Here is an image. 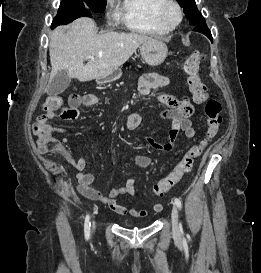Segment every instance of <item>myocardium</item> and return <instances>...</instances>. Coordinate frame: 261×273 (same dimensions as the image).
I'll list each match as a JSON object with an SVG mask.
<instances>
[{"label": "myocardium", "instance_id": "obj_1", "mask_svg": "<svg viewBox=\"0 0 261 273\" xmlns=\"http://www.w3.org/2000/svg\"><path fill=\"white\" fill-rule=\"evenodd\" d=\"M173 8L177 12V18L174 22H168L166 19V12ZM156 17L159 23L168 30L176 29L183 20V9L176 0H162L156 11Z\"/></svg>", "mask_w": 261, "mask_h": 273}]
</instances>
